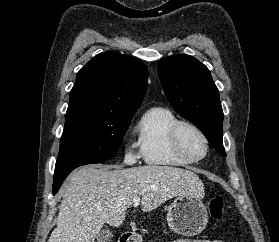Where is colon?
I'll return each mask as SVG.
<instances>
[{"mask_svg": "<svg viewBox=\"0 0 279 242\" xmlns=\"http://www.w3.org/2000/svg\"><path fill=\"white\" fill-rule=\"evenodd\" d=\"M209 215L214 220L222 219L224 215V201L220 195L212 197L208 203Z\"/></svg>", "mask_w": 279, "mask_h": 242, "instance_id": "colon-1", "label": "colon"}]
</instances>
